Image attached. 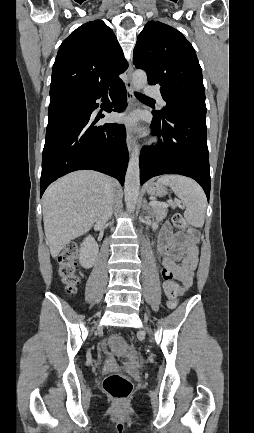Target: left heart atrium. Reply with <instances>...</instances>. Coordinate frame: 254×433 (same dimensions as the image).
<instances>
[{
    "label": "left heart atrium",
    "instance_id": "1",
    "mask_svg": "<svg viewBox=\"0 0 254 433\" xmlns=\"http://www.w3.org/2000/svg\"><path fill=\"white\" fill-rule=\"evenodd\" d=\"M137 120L138 116L136 114L121 117V121L129 126H134Z\"/></svg>",
    "mask_w": 254,
    "mask_h": 433
}]
</instances>
